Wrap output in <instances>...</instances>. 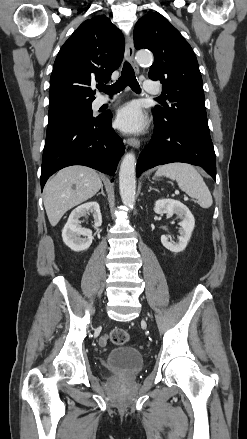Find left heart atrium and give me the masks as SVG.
Listing matches in <instances>:
<instances>
[{
  "label": "left heart atrium",
  "mask_w": 247,
  "mask_h": 439,
  "mask_svg": "<svg viewBox=\"0 0 247 439\" xmlns=\"http://www.w3.org/2000/svg\"><path fill=\"white\" fill-rule=\"evenodd\" d=\"M116 125L124 132H141L147 125L146 116L135 102L126 104L117 112Z\"/></svg>",
  "instance_id": "39dd6f15"
}]
</instances>
